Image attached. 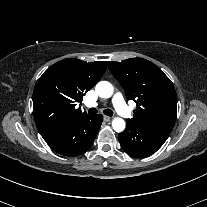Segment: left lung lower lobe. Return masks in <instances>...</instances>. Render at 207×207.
<instances>
[{
    "instance_id": "left-lung-lower-lobe-1",
    "label": "left lung lower lobe",
    "mask_w": 207,
    "mask_h": 207,
    "mask_svg": "<svg viewBox=\"0 0 207 207\" xmlns=\"http://www.w3.org/2000/svg\"><path fill=\"white\" fill-rule=\"evenodd\" d=\"M168 136L127 122L125 131L118 135V139L127 154L133 157H146L155 153Z\"/></svg>"
}]
</instances>
